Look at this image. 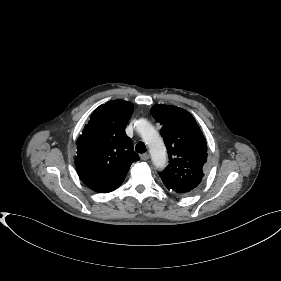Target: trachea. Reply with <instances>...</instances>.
Returning a JSON list of instances; mask_svg holds the SVG:
<instances>
[{
  "instance_id": "3493384b",
  "label": "trachea",
  "mask_w": 281,
  "mask_h": 281,
  "mask_svg": "<svg viewBox=\"0 0 281 281\" xmlns=\"http://www.w3.org/2000/svg\"><path fill=\"white\" fill-rule=\"evenodd\" d=\"M135 150L138 153H145L146 152V146L143 142H138L136 144Z\"/></svg>"
}]
</instances>
